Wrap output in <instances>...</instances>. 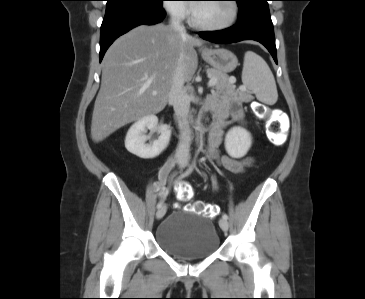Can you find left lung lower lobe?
Instances as JSON below:
<instances>
[{
  "mask_svg": "<svg viewBox=\"0 0 365 299\" xmlns=\"http://www.w3.org/2000/svg\"><path fill=\"white\" fill-rule=\"evenodd\" d=\"M268 0H251L239 7L238 22L231 28L220 31H204L199 35L215 43H233L255 40L263 44L277 63L275 37L270 17Z\"/></svg>",
  "mask_w": 365,
  "mask_h": 299,
  "instance_id": "0a47b994",
  "label": "left lung lower lobe"
}]
</instances>
